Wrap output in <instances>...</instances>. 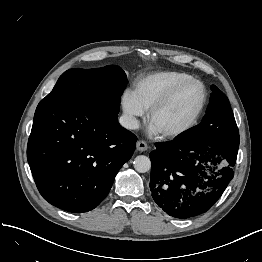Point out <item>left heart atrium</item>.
Returning <instances> with one entry per match:
<instances>
[{"mask_svg":"<svg viewBox=\"0 0 262 262\" xmlns=\"http://www.w3.org/2000/svg\"><path fill=\"white\" fill-rule=\"evenodd\" d=\"M158 133H159V131L153 125H151L150 128H149V134L150 135H156Z\"/></svg>","mask_w":262,"mask_h":262,"instance_id":"1","label":"left heart atrium"}]
</instances>
